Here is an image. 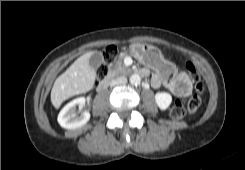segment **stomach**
I'll return each instance as SVG.
<instances>
[{"instance_id": "0dacf381", "label": "stomach", "mask_w": 245, "mask_h": 170, "mask_svg": "<svg viewBox=\"0 0 245 170\" xmlns=\"http://www.w3.org/2000/svg\"><path fill=\"white\" fill-rule=\"evenodd\" d=\"M129 52L140 63L151 69H158L164 62L162 53L150 45L132 44L129 47ZM177 81L184 82L187 85V89L191 88V83L185 76L182 78L178 77Z\"/></svg>"}]
</instances>
